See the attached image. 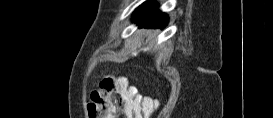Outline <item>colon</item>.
Instances as JSON below:
<instances>
[{
    "label": "colon",
    "instance_id": "5ec220e1",
    "mask_svg": "<svg viewBox=\"0 0 273 118\" xmlns=\"http://www.w3.org/2000/svg\"><path fill=\"white\" fill-rule=\"evenodd\" d=\"M90 99L89 118H115L117 111L128 118H147L159 105L157 99L141 96L126 80L114 77H105Z\"/></svg>",
    "mask_w": 273,
    "mask_h": 118
}]
</instances>
